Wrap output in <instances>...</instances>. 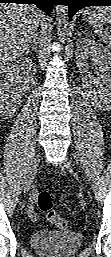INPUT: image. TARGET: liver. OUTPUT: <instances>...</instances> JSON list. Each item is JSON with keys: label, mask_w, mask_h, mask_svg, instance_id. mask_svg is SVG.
I'll use <instances>...</instances> for the list:
<instances>
[{"label": "liver", "mask_w": 111, "mask_h": 257, "mask_svg": "<svg viewBox=\"0 0 111 257\" xmlns=\"http://www.w3.org/2000/svg\"><path fill=\"white\" fill-rule=\"evenodd\" d=\"M45 15L36 7L24 4L0 5V64L9 65L29 47Z\"/></svg>", "instance_id": "liver-1"}]
</instances>
